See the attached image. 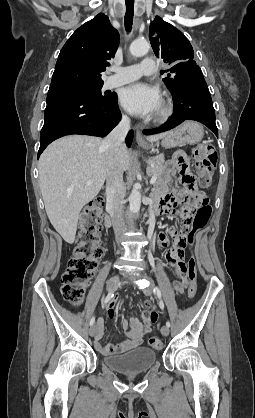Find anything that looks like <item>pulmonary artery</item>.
Masks as SVG:
<instances>
[{"label": "pulmonary artery", "mask_w": 255, "mask_h": 418, "mask_svg": "<svg viewBox=\"0 0 255 418\" xmlns=\"http://www.w3.org/2000/svg\"><path fill=\"white\" fill-rule=\"evenodd\" d=\"M113 75L105 82L106 88H113L139 79L142 75H150L155 71V61L152 58H144L139 64L115 67Z\"/></svg>", "instance_id": "pulmonary-artery-1"}]
</instances>
